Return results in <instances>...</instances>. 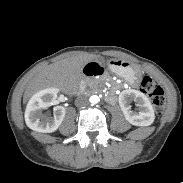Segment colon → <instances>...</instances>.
<instances>
[{
	"mask_svg": "<svg viewBox=\"0 0 183 183\" xmlns=\"http://www.w3.org/2000/svg\"><path fill=\"white\" fill-rule=\"evenodd\" d=\"M141 89L152 101L158 114L163 112L165 107V93L163 88L150 77H144L141 82Z\"/></svg>",
	"mask_w": 183,
	"mask_h": 183,
	"instance_id": "1",
	"label": "colon"
}]
</instances>
